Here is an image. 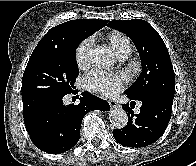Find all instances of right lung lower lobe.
<instances>
[{"mask_svg": "<svg viewBox=\"0 0 196 166\" xmlns=\"http://www.w3.org/2000/svg\"><path fill=\"white\" fill-rule=\"evenodd\" d=\"M63 97L31 94L22 97L24 123L33 144L49 154H60L74 147L80 137L81 122L91 110L108 111L110 106L88 92L78 105H64Z\"/></svg>", "mask_w": 196, "mask_h": 166, "instance_id": "98d812e1", "label": "right lung lower lobe"}]
</instances>
